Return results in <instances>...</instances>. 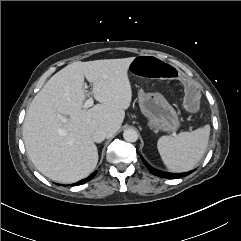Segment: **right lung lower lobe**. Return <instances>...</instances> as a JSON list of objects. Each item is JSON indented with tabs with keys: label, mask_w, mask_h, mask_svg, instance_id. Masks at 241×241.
I'll use <instances>...</instances> for the list:
<instances>
[{
	"label": "right lung lower lobe",
	"mask_w": 241,
	"mask_h": 241,
	"mask_svg": "<svg viewBox=\"0 0 241 241\" xmlns=\"http://www.w3.org/2000/svg\"><path fill=\"white\" fill-rule=\"evenodd\" d=\"M95 175H96V172L93 173L91 176H89L87 179H84V180L78 182L77 185L84 184V183L90 181Z\"/></svg>",
	"instance_id": "right-lung-lower-lobe-1"
}]
</instances>
